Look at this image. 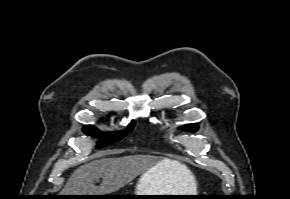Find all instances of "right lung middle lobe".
Here are the masks:
<instances>
[{
    "label": "right lung middle lobe",
    "instance_id": "1",
    "mask_svg": "<svg viewBox=\"0 0 290 199\" xmlns=\"http://www.w3.org/2000/svg\"><path fill=\"white\" fill-rule=\"evenodd\" d=\"M133 127H134V121H132L130 123L128 129L125 131L118 132V133H108V134L104 135L103 138L98 142L96 148H102V147H105L106 145H110V144H113V143L119 141L120 139L125 137L133 129ZM83 131L87 135L98 134L97 130L90 125L85 126L83 128Z\"/></svg>",
    "mask_w": 290,
    "mask_h": 199
}]
</instances>
